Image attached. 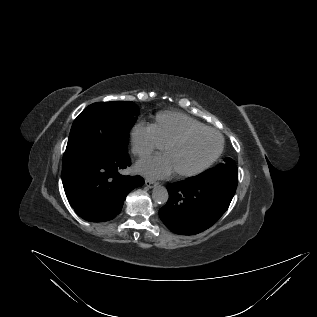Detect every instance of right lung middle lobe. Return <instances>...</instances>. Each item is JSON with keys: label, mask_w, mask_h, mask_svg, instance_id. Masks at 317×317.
Here are the masks:
<instances>
[{"label": "right lung middle lobe", "mask_w": 317, "mask_h": 317, "mask_svg": "<svg viewBox=\"0 0 317 317\" xmlns=\"http://www.w3.org/2000/svg\"><path fill=\"white\" fill-rule=\"evenodd\" d=\"M140 110L133 102H98L74 120L63 157L62 171L95 160L126 154L129 131Z\"/></svg>", "instance_id": "1"}]
</instances>
